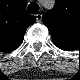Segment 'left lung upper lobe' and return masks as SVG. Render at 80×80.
Returning a JSON list of instances; mask_svg holds the SVG:
<instances>
[{"mask_svg":"<svg viewBox=\"0 0 80 80\" xmlns=\"http://www.w3.org/2000/svg\"><path fill=\"white\" fill-rule=\"evenodd\" d=\"M43 23L48 27L52 39L58 47L70 45L77 26L69 0H57L55 8L44 14Z\"/></svg>","mask_w":80,"mask_h":80,"instance_id":"left-lung-upper-lobe-1","label":"left lung upper lobe"}]
</instances>
